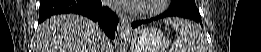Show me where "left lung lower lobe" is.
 Returning a JSON list of instances; mask_svg holds the SVG:
<instances>
[{"instance_id":"left-lung-lower-lobe-1","label":"left lung lower lobe","mask_w":261,"mask_h":52,"mask_svg":"<svg viewBox=\"0 0 261 52\" xmlns=\"http://www.w3.org/2000/svg\"><path fill=\"white\" fill-rule=\"evenodd\" d=\"M174 16L189 18V19L194 20L196 22H201L200 17L192 14L191 12H188V11L183 10V9H169L166 12H164V13H162V14L154 17V18L135 21L131 24V26H132V28H136V27H138L142 24H147V23H150L154 20H158V19L165 18V17H174Z\"/></svg>"}]
</instances>
